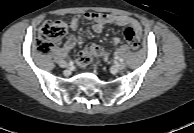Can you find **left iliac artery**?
I'll return each mask as SVG.
<instances>
[{"label": "left iliac artery", "instance_id": "44dca946", "mask_svg": "<svg viewBox=\"0 0 194 133\" xmlns=\"http://www.w3.org/2000/svg\"><path fill=\"white\" fill-rule=\"evenodd\" d=\"M115 59H116V60H119L120 62H122V61H123V59H122V58H120L119 56H115Z\"/></svg>", "mask_w": 194, "mask_h": 133}]
</instances>
